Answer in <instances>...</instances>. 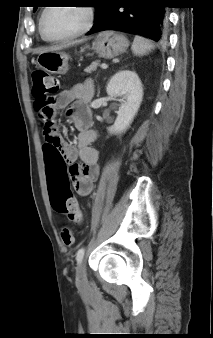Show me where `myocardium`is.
I'll return each mask as SVG.
<instances>
[{
	"instance_id": "obj_1",
	"label": "myocardium",
	"mask_w": 213,
	"mask_h": 338,
	"mask_svg": "<svg viewBox=\"0 0 213 338\" xmlns=\"http://www.w3.org/2000/svg\"><path fill=\"white\" fill-rule=\"evenodd\" d=\"M54 5L51 4L49 5L44 11L43 13L41 14V17H40V20H39V33L42 37V39L46 42H50V43H59V42H63V41H68V40H72V39H76L84 34H86L92 27L93 25V21H94V16H95V13H94V9L88 5H83L82 9H84L85 13H86V21L84 23V25L76 32L72 33V34H69L67 36H64V37H60V38H54V39H50V38H47L45 35H44V32H43V26H44V21H45V17L46 15L48 14V12L54 8L53 7Z\"/></svg>"
}]
</instances>
